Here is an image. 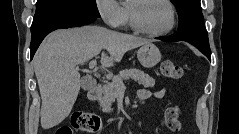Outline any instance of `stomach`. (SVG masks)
Segmentation results:
<instances>
[{
	"label": "stomach",
	"mask_w": 239,
	"mask_h": 134,
	"mask_svg": "<svg viewBox=\"0 0 239 134\" xmlns=\"http://www.w3.org/2000/svg\"><path fill=\"white\" fill-rule=\"evenodd\" d=\"M137 58L144 68H152L160 62L161 53L156 45L149 42L138 49Z\"/></svg>",
	"instance_id": "stomach-1"
}]
</instances>
